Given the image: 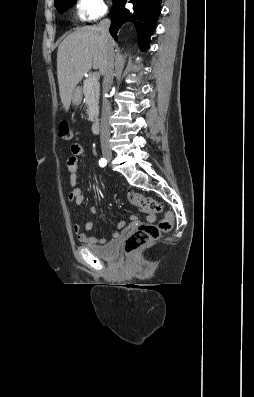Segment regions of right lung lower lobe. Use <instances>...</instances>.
Segmentation results:
<instances>
[{
  "label": "right lung lower lobe",
  "instance_id": "right-lung-lower-lobe-1",
  "mask_svg": "<svg viewBox=\"0 0 254 397\" xmlns=\"http://www.w3.org/2000/svg\"><path fill=\"white\" fill-rule=\"evenodd\" d=\"M111 10L110 33L117 39L118 30L125 24L131 26L139 39V45L144 51L149 46L157 18L161 12V0H130L131 10L125 9L126 0H114Z\"/></svg>",
  "mask_w": 254,
  "mask_h": 397
}]
</instances>
